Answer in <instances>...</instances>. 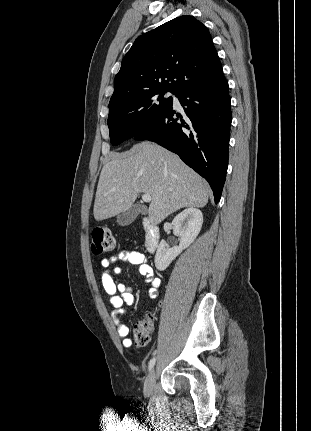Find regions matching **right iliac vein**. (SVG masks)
<instances>
[{
  "instance_id": "63e3f726",
  "label": "right iliac vein",
  "mask_w": 311,
  "mask_h": 431,
  "mask_svg": "<svg viewBox=\"0 0 311 431\" xmlns=\"http://www.w3.org/2000/svg\"><path fill=\"white\" fill-rule=\"evenodd\" d=\"M155 379H156V371L153 368L150 371L149 375L147 376V379H146L145 384H144V395L146 397H149L151 395L154 384H155Z\"/></svg>"
}]
</instances>
